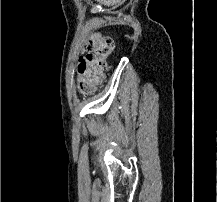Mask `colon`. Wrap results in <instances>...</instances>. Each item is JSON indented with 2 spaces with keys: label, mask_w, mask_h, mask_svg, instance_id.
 <instances>
[{
  "label": "colon",
  "mask_w": 217,
  "mask_h": 202,
  "mask_svg": "<svg viewBox=\"0 0 217 202\" xmlns=\"http://www.w3.org/2000/svg\"><path fill=\"white\" fill-rule=\"evenodd\" d=\"M113 48L112 38L96 34L92 41L87 44L86 49H81V54L85 55L76 59L75 63L78 64L79 87L83 93H92L98 90L97 85L101 83L104 73L108 69L107 58L112 53Z\"/></svg>",
  "instance_id": "5ec220e1"
}]
</instances>
